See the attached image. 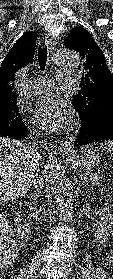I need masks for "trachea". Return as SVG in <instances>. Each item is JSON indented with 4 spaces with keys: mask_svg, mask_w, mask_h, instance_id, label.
<instances>
[{
    "mask_svg": "<svg viewBox=\"0 0 113 279\" xmlns=\"http://www.w3.org/2000/svg\"><path fill=\"white\" fill-rule=\"evenodd\" d=\"M47 54H48L47 47L46 46L45 47L39 46V49H38V63H39L40 69L42 71H44L45 67H46Z\"/></svg>",
    "mask_w": 113,
    "mask_h": 279,
    "instance_id": "1",
    "label": "trachea"
}]
</instances>
